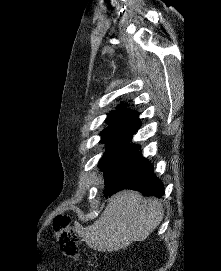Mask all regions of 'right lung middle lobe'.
Returning a JSON list of instances; mask_svg holds the SVG:
<instances>
[{
  "label": "right lung middle lobe",
  "mask_w": 221,
  "mask_h": 271,
  "mask_svg": "<svg viewBox=\"0 0 221 271\" xmlns=\"http://www.w3.org/2000/svg\"><path fill=\"white\" fill-rule=\"evenodd\" d=\"M135 132L132 130H103L101 132V142L107 144L105 155L98 164L101 171L125 161L139 149V145L130 144Z\"/></svg>",
  "instance_id": "right-lung-middle-lobe-1"
}]
</instances>
